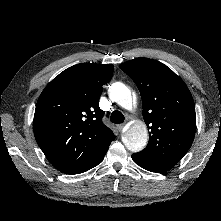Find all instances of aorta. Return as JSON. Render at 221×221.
Wrapping results in <instances>:
<instances>
[{"mask_svg":"<svg viewBox=\"0 0 221 221\" xmlns=\"http://www.w3.org/2000/svg\"><path fill=\"white\" fill-rule=\"evenodd\" d=\"M110 97L118 105L125 109H130L132 106V95L130 89L123 83L116 82L110 86ZM123 143L131 152H139L147 144L148 131L144 123H138L130 127L124 134Z\"/></svg>","mask_w":221,"mask_h":221,"instance_id":"1","label":"aorta"}]
</instances>
